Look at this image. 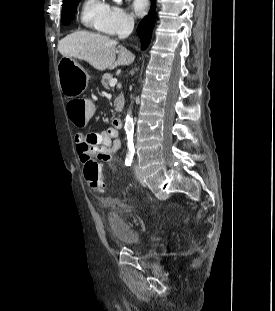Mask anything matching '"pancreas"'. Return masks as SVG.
Here are the masks:
<instances>
[{"instance_id":"pancreas-1","label":"pancreas","mask_w":275,"mask_h":311,"mask_svg":"<svg viewBox=\"0 0 275 311\" xmlns=\"http://www.w3.org/2000/svg\"><path fill=\"white\" fill-rule=\"evenodd\" d=\"M113 79V76L109 73H106L103 75L101 83L104 86V88L106 89H110V81ZM114 105H115V110L116 111H121L124 105V99H123V95H119L115 101H114Z\"/></svg>"}]
</instances>
